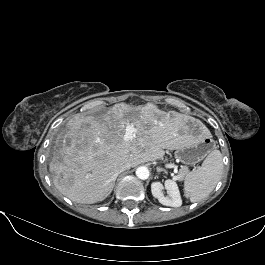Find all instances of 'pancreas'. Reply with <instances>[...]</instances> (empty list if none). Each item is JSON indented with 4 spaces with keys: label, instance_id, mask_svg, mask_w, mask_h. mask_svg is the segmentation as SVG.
Returning <instances> with one entry per match:
<instances>
[{
    "label": "pancreas",
    "instance_id": "obj_1",
    "mask_svg": "<svg viewBox=\"0 0 265 265\" xmlns=\"http://www.w3.org/2000/svg\"><path fill=\"white\" fill-rule=\"evenodd\" d=\"M186 172H187V169H185V168L181 169L179 174H178V178L181 179Z\"/></svg>",
    "mask_w": 265,
    "mask_h": 265
}]
</instances>
